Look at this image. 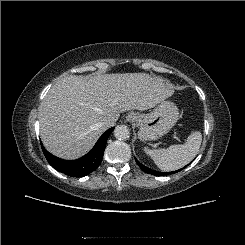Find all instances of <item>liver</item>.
Wrapping results in <instances>:
<instances>
[{"label":"liver","mask_w":245,"mask_h":245,"mask_svg":"<svg viewBox=\"0 0 245 245\" xmlns=\"http://www.w3.org/2000/svg\"><path fill=\"white\" fill-rule=\"evenodd\" d=\"M173 92L163 78L147 73L64 77L41 103L40 137L53 155L79 158L104 133V121H117L125 111L153 108Z\"/></svg>","instance_id":"6515ba94"}]
</instances>
